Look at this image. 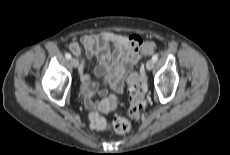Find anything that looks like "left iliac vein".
<instances>
[{
    "label": "left iliac vein",
    "mask_w": 230,
    "mask_h": 155,
    "mask_svg": "<svg viewBox=\"0 0 230 155\" xmlns=\"http://www.w3.org/2000/svg\"><path fill=\"white\" fill-rule=\"evenodd\" d=\"M154 67V61L153 60H148L147 63H146V69L147 70H152Z\"/></svg>",
    "instance_id": "1"
}]
</instances>
